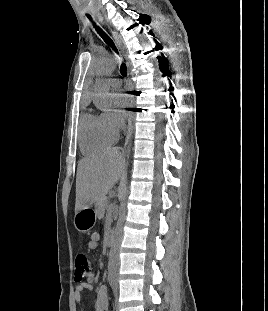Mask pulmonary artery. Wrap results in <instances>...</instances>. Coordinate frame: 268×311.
I'll return each mask as SVG.
<instances>
[{"label":"pulmonary artery","mask_w":268,"mask_h":311,"mask_svg":"<svg viewBox=\"0 0 268 311\" xmlns=\"http://www.w3.org/2000/svg\"><path fill=\"white\" fill-rule=\"evenodd\" d=\"M107 83L112 87V88H118L121 85V80L117 78H110L107 80Z\"/></svg>","instance_id":"1"}]
</instances>
